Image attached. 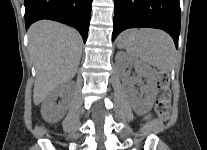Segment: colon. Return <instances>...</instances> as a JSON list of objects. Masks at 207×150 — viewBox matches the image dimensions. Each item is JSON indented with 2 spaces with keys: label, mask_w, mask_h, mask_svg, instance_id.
Instances as JSON below:
<instances>
[{
  "label": "colon",
  "mask_w": 207,
  "mask_h": 150,
  "mask_svg": "<svg viewBox=\"0 0 207 150\" xmlns=\"http://www.w3.org/2000/svg\"><path fill=\"white\" fill-rule=\"evenodd\" d=\"M170 104L171 90L169 76L166 72L159 70L155 110L161 119L166 120L168 118L170 112Z\"/></svg>",
  "instance_id": "1"
}]
</instances>
